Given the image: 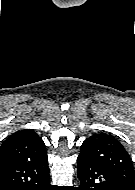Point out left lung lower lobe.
<instances>
[{
  "label": "left lung lower lobe",
  "mask_w": 135,
  "mask_h": 190,
  "mask_svg": "<svg viewBox=\"0 0 135 190\" xmlns=\"http://www.w3.org/2000/svg\"><path fill=\"white\" fill-rule=\"evenodd\" d=\"M77 164L79 190H134L102 164L81 157L77 158Z\"/></svg>",
  "instance_id": "1"
}]
</instances>
